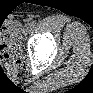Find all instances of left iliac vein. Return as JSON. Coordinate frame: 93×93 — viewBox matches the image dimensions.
Segmentation results:
<instances>
[{"instance_id": "4c4485c4", "label": "left iliac vein", "mask_w": 93, "mask_h": 93, "mask_svg": "<svg viewBox=\"0 0 93 93\" xmlns=\"http://www.w3.org/2000/svg\"><path fill=\"white\" fill-rule=\"evenodd\" d=\"M30 30V24H25L24 28H23V33L27 34Z\"/></svg>"}]
</instances>
